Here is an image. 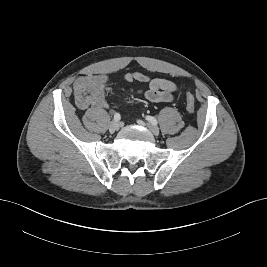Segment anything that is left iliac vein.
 I'll list each match as a JSON object with an SVG mask.
<instances>
[{
	"mask_svg": "<svg viewBox=\"0 0 267 267\" xmlns=\"http://www.w3.org/2000/svg\"><path fill=\"white\" fill-rule=\"evenodd\" d=\"M139 125L141 126H147L150 131L155 135V136H158L159 135V128L155 125H152V124H146L145 122H143L142 120H138L137 121Z\"/></svg>",
	"mask_w": 267,
	"mask_h": 267,
	"instance_id": "obj_1",
	"label": "left iliac vein"
}]
</instances>
